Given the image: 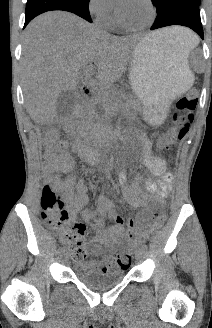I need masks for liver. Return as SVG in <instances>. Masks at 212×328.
Wrapping results in <instances>:
<instances>
[{
  "mask_svg": "<svg viewBox=\"0 0 212 328\" xmlns=\"http://www.w3.org/2000/svg\"><path fill=\"white\" fill-rule=\"evenodd\" d=\"M183 28L170 27L147 36L181 47ZM146 37V36H145ZM132 37H116L80 17L50 11L32 20L25 29L21 76L25 107L37 124L53 122L62 91H74L83 80L80 69L92 65L95 79L87 84L102 92L126 71Z\"/></svg>",
  "mask_w": 212,
  "mask_h": 328,
  "instance_id": "1",
  "label": "liver"
}]
</instances>
